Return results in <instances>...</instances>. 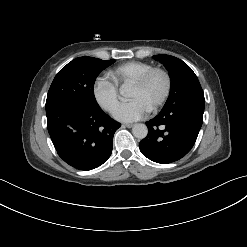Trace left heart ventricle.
Masks as SVG:
<instances>
[{
    "label": "left heart ventricle",
    "instance_id": "left-heart-ventricle-1",
    "mask_svg": "<svg viewBox=\"0 0 247 247\" xmlns=\"http://www.w3.org/2000/svg\"><path fill=\"white\" fill-rule=\"evenodd\" d=\"M165 87V77L160 73H155L145 86L132 85L130 98L140 99L151 108L162 97Z\"/></svg>",
    "mask_w": 247,
    "mask_h": 247
}]
</instances>
